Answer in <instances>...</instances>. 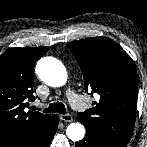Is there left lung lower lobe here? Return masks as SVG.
Returning a JSON list of instances; mask_svg holds the SVG:
<instances>
[{
    "label": "left lung lower lobe",
    "instance_id": "obj_1",
    "mask_svg": "<svg viewBox=\"0 0 147 147\" xmlns=\"http://www.w3.org/2000/svg\"><path fill=\"white\" fill-rule=\"evenodd\" d=\"M79 122H82L77 118ZM75 147H114L108 141L103 139L96 131L91 129H86V136L76 143Z\"/></svg>",
    "mask_w": 147,
    "mask_h": 147
}]
</instances>
